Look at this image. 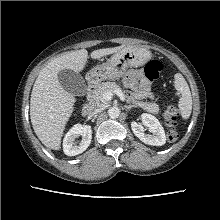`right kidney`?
Returning <instances> with one entry per match:
<instances>
[{"label":"right kidney","instance_id":"obj_1","mask_svg":"<svg viewBox=\"0 0 220 220\" xmlns=\"http://www.w3.org/2000/svg\"><path fill=\"white\" fill-rule=\"evenodd\" d=\"M82 135V142L77 146L75 139ZM92 130L89 125L75 124L65 135L63 140V151L67 156H76L83 153L91 143Z\"/></svg>","mask_w":220,"mask_h":220}]
</instances>
